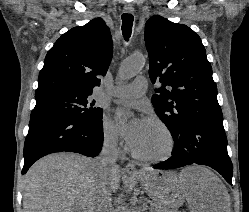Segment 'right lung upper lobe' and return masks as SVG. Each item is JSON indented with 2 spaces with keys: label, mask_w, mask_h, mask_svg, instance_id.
I'll use <instances>...</instances> for the list:
<instances>
[{
  "label": "right lung upper lobe",
  "mask_w": 249,
  "mask_h": 212,
  "mask_svg": "<svg viewBox=\"0 0 249 212\" xmlns=\"http://www.w3.org/2000/svg\"><path fill=\"white\" fill-rule=\"evenodd\" d=\"M111 34L101 18L63 34L48 51L35 95L54 91L92 93L112 59Z\"/></svg>",
  "instance_id": "right-lung-upper-lobe-1"
}]
</instances>
